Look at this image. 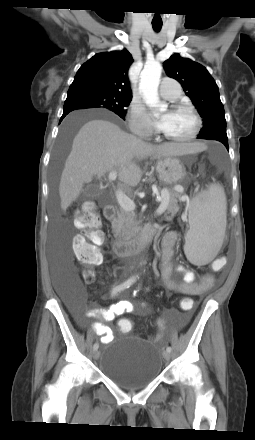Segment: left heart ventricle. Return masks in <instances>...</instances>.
I'll use <instances>...</instances> for the list:
<instances>
[{"mask_svg": "<svg viewBox=\"0 0 255 440\" xmlns=\"http://www.w3.org/2000/svg\"><path fill=\"white\" fill-rule=\"evenodd\" d=\"M194 127L195 121L189 112L173 110L169 113V122L164 133L175 138H183L188 136Z\"/></svg>", "mask_w": 255, "mask_h": 440, "instance_id": "1", "label": "left heart ventricle"}]
</instances>
